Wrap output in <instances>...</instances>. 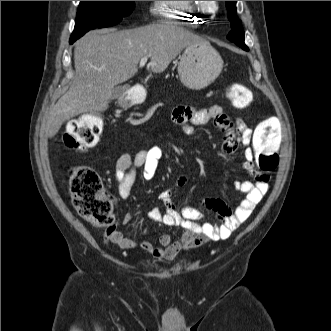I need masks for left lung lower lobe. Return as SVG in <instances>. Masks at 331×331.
<instances>
[{
	"mask_svg": "<svg viewBox=\"0 0 331 331\" xmlns=\"http://www.w3.org/2000/svg\"><path fill=\"white\" fill-rule=\"evenodd\" d=\"M244 50L248 51V48H243Z\"/></svg>",
	"mask_w": 331,
	"mask_h": 331,
	"instance_id": "left-lung-lower-lobe-1",
	"label": "left lung lower lobe"
}]
</instances>
